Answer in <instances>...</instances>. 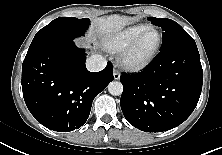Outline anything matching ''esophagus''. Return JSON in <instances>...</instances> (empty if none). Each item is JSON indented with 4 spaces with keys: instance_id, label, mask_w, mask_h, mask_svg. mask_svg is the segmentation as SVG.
<instances>
[{
    "instance_id": "1",
    "label": "esophagus",
    "mask_w": 222,
    "mask_h": 155,
    "mask_svg": "<svg viewBox=\"0 0 222 155\" xmlns=\"http://www.w3.org/2000/svg\"><path fill=\"white\" fill-rule=\"evenodd\" d=\"M113 77H114L115 80H118L120 78V73H119L118 70L114 69Z\"/></svg>"
}]
</instances>
